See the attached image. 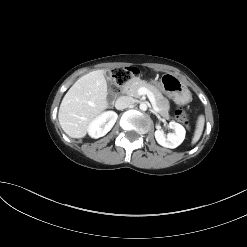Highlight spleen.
<instances>
[{
  "label": "spleen",
  "mask_w": 247,
  "mask_h": 247,
  "mask_svg": "<svg viewBox=\"0 0 247 247\" xmlns=\"http://www.w3.org/2000/svg\"><path fill=\"white\" fill-rule=\"evenodd\" d=\"M204 123H205V118L203 115H200L197 119L196 129L194 132V136L192 138V144L197 143L198 140L200 139L204 128Z\"/></svg>",
  "instance_id": "3e777b00"
}]
</instances>
